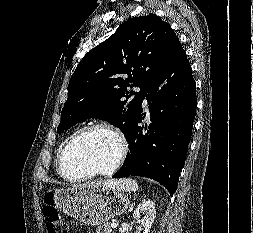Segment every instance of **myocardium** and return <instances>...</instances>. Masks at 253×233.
<instances>
[{"instance_id": "f54148a6", "label": "myocardium", "mask_w": 253, "mask_h": 233, "mask_svg": "<svg viewBox=\"0 0 253 233\" xmlns=\"http://www.w3.org/2000/svg\"><path fill=\"white\" fill-rule=\"evenodd\" d=\"M95 130L107 131L116 138L118 142V155L114 163L107 169L93 170L81 176L72 177V176L66 175L64 172V159L69 147L75 140H77L82 135L91 131H95ZM127 153H128V142L124 133L121 131V129H119L117 126L112 125L110 123H105V122L92 123L80 128L78 131L73 133L66 140L59 154L58 172L65 180L69 182H79V181L90 179L95 176H108V175L113 174L123 164V162L126 159Z\"/></svg>"}]
</instances>
